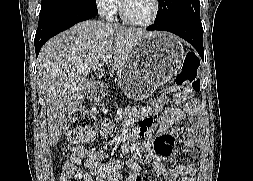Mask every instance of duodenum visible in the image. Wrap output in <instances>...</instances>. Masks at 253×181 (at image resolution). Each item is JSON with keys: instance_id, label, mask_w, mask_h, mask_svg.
I'll list each match as a JSON object with an SVG mask.
<instances>
[{"instance_id": "duodenum-1", "label": "duodenum", "mask_w": 253, "mask_h": 181, "mask_svg": "<svg viewBox=\"0 0 253 181\" xmlns=\"http://www.w3.org/2000/svg\"><path fill=\"white\" fill-rule=\"evenodd\" d=\"M105 87L103 84H96L89 92V98L94 102H100L105 95Z\"/></svg>"}]
</instances>
